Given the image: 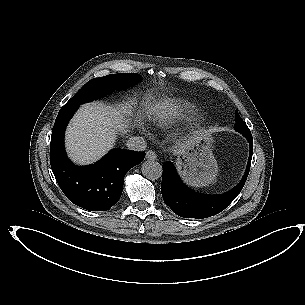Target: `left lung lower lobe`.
Instances as JSON below:
<instances>
[{"mask_svg":"<svg viewBox=\"0 0 305 305\" xmlns=\"http://www.w3.org/2000/svg\"><path fill=\"white\" fill-rule=\"evenodd\" d=\"M246 138L252 147L253 140H251L250 137ZM242 187L240 190L234 193L229 203L213 205L209 202L210 197L213 195H204L190 190L181 182L171 162H165L163 164V177L161 185L163 200L174 213L184 218L201 219L220 213L239 194Z\"/></svg>","mask_w":305,"mask_h":305,"instance_id":"obj_1","label":"left lung lower lobe"}]
</instances>
